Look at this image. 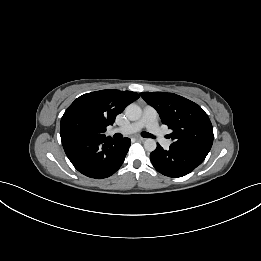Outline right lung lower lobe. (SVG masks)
Instances as JSON below:
<instances>
[{"instance_id": "1", "label": "right lung lower lobe", "mask_w": 261, "mask_h": 261, "mask_svg": "<svg viewBox=\"0 0 261 261\" xmlns=\"http://www.w3.org/2000/svg\"><path fill=\"white\" fill-rule=\"evenodd\" d=\"M65 153L73 166L90 178L103 179L114 174L124 162L131 141L98 137L62 138Z\"/></svg>"}]
</instances>
